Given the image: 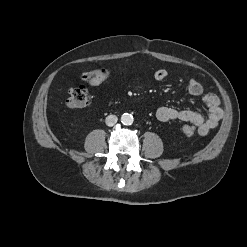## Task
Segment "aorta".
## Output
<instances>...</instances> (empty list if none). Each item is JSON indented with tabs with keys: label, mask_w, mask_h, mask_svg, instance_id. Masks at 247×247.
I'll return each mask as SVG.
<instances>
[{
	"label": "aorta",
	"mask_w": 247,
	"mask_h": 247,
	"mask_svg": "<svg viewBox=\"0 0 247 247\" xmlns=\"http://www.w3.org/2000/svg\"><path fill=\"white\" fill-rule=\"evenodd\" d=\"M133 120H134L133 116L129 113H124L121 116V122L124 125H131L133 123Z\"/></svg>",
	"instance_id": "obj_1"
}]
</instances>
